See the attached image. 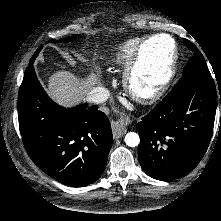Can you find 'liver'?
Instances as JSON below:
<instances>
[{
  "mask_svg": "<svg viewBox=\"0 0 221 221\" xmlns=\"http://www.w3.org/2000/svg\"><path fill=\"white\" fill-rule=\"evenodd\" d=\"M98 82V75L94 72L80 80L67 70H58L48 79V95L63 107H72L85 99L86 95Z\"/></svg>",
  "mask_w": 221,
  "mask_h": 221,
  "instance_id": "obj_1",
  "label": "liver"
}]
</instances>
